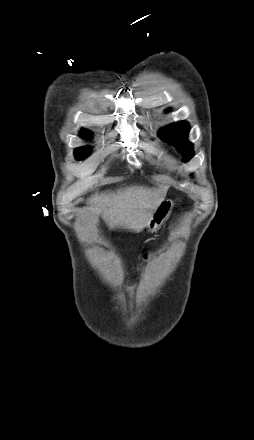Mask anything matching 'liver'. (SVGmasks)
Segmentation results:
<instances>
[{
    "instance_id": "obj_1",
    "label": "liver",
    "mask_w": 254,
    "mask_h": 440,
    "mask_svg": "<svg viewBox=\"0 0 254 440\" xmlns=\"http://www.w3.org/2000/svg\"><path fill=\"white\" fill-rule=\"evenodd\" d=\"M167 187L131 186L116 192L95 195L86 212L89 226L96 224L101 214L111 229L125 228L139 232L146 228L152 214L165 198Z\"/></svg>"
}]
</instances>
